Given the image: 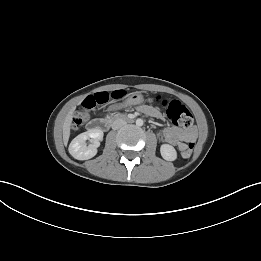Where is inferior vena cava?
I'll return each instance as SVG.
<instances>
[{
	"label": "inferior vena cava",
	"instance_id": "obj_1",
	"mask_svg": "<svg viewBox=\"0 0 261 261\" xmlns=\"http://www.w3.org/2000/svg\"><path fill=\"white\" fill-rule=\"evenodd\" d=\"M124 125H126V121L124 119H117L113 122L112 129L117 130V129L123 127Z\"/></svg>",
	"mask_w": 261,
	"mask_h": 261
}]
</instances>
